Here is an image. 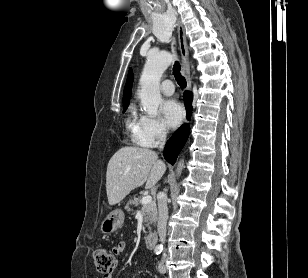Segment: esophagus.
<instances>
[{
  "label": "esophagus",
  "mask_w": 308,
  "mask_h": 278,
  "mask_svg": "<svg viewBox=\"0 0 308 278\" xmlns=\"http://www.w3.org/2000/svg\"><path fill=\"white\" fill-rule=\"evenodd\" d=\"M177 30H178L179 48H180V53L182 57V73L187 82V89L191 90L192 81H191L190 69H189V51H188V46H187L185 30L180 21H177ZM185 122H187V120H185Z\"/></svg>",
  "instance_id": "esophagus-1"
}]
</instances>
